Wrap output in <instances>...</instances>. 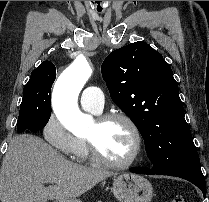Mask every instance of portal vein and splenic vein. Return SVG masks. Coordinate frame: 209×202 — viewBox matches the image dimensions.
<instances>
[{
	"mask_svg": "<svg viewBox=\"0 0 209 202\" xmlns=\"http://www.w3.org/2000/svg\"><path fill=\"white\" fill-rule=\"evenodd\" d=\"M46 182L51 183V184L57 183V181H56L55 179H52V178H48V179L46 180Z\"/></svg>",
	"mask_w": 209,
	"mask_h": 202,
	"instance_id": "portal-vein-and-splenic-vein-1",
	"label": "portal vein and splenic vein"
}]
</instances>
